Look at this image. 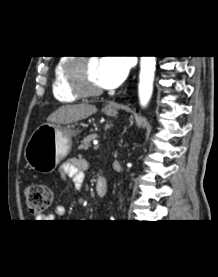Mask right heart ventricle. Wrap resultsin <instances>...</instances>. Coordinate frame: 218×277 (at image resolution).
Returning a JSON list of instances; mask_svg holds the SVG:
<instances>
[{"label": "right heart ventricle", "instance_id": "obj_1", "mask_svg": "<svg viewBox=\"0 0 218 277\" xmlns=\"http://www.w3.org/2000/svg\"><path fill=\"white\" fill-rule=\"evenodd\" d=\"M69 58H60L54 66L52 75V93L56 100L64 103L76 101L79 96L73 93L67 83L65 66Z\"/></svg>", "mask_w": 218, "mask_h": 277}]
</instances>
